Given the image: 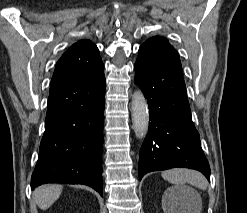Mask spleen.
<instances>
[{
    "mask_svg": "<svg viewBox=\"0 0 247 213\" xmlns=\"http://www.w3.org/2000/svg\"><path fill=\"white\" fill-rule=\"evenodd\" d=\"M162 177L168 182L176 185V187H180L187 182L190 185L195 186L199 189H207L206 178L200 172L194 170L175 168L162 172ZM173 190L174 189H169L166 192V194L170 195L173 192Z\"/></svg>",
    "mask_w": 247,
    "mask_h": 213,
    "instance_id": "3e777b00",
    "label": "spleen"
}]
</instances>
